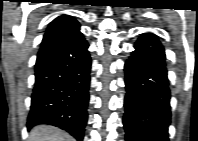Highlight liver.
I'll return each instance as SVG.
<instances>
[{"mask_svg":"<svg viewBox=\"0 0 198 141\" xmlns=\"http://www.w3.org/2000/svg\"><path fill=\"white\" fill-rule=\"evenodd\" d=\"M28 139L29 141H74V138L66 132L48 125L34 127Z\"/></svg>","mask_w":198,"mask_h":141,"instance_id":"liver-1","label":"liver"}]
</instances>
